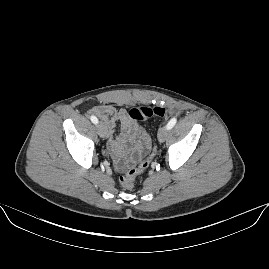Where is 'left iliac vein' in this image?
I'll list each match as a JSON object with an SVG mask.
<instances>
[{"instance_id": "1", "label": "left iliac vein", "mask_w": 269, "mask_h": 269, "mask_svg": "<svg viewBox=\"0 0 269 269\" xmlns=\"http://www.w3.org/2000/svg\"><path fill=\"white\" fill-rule=\"evenodd\" d=\"M168 134V129L167 127H162L159 129L158 134H157V138L160 142L165 141L166 137Z\"/></svg>"}]
</instances>
